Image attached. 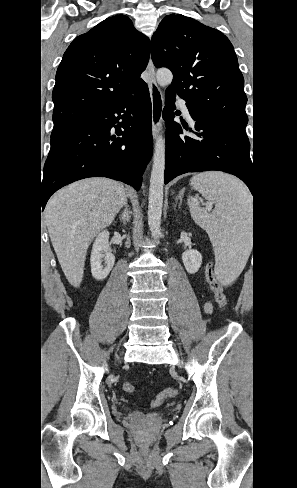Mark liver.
I'll list each match as a JSON object with an SVG mask.
<instances>
[{"label": "liver", "instance_id": "obj_1", "mask_svg": "<svg viewBox=\"0 0 297 488\" xmlns=\"http://www.w3.org/2000/svg\"><path fill=\"white\" fill-rule=\"evenodd\" d=\"M124 187L105 178L72 183L50 198L45 208L50 239L69 283L83 279L87 249L125 204Z\"/></svg>", "mask_w": 297, "mask_h": 488}]
</instances>
